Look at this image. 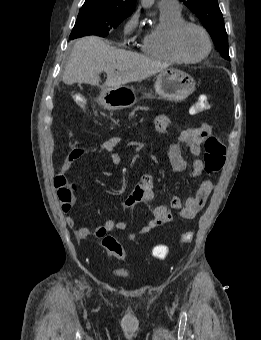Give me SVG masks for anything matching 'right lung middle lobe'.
<instances>
[{
	"instance_id": "right-lung-middle-lobe-1",
	"label": "right lung middle lobe",
	"mask_w": 261,
	"mask_h": 340,
	"mask_svg": "<svg viewBox=\"0 0 261 340\" xmlns=\"http://www.w3.org/2000/svg\"><path fill=\"white\" fill-rule=\"evenodd\" d=\"M126 17L128 16L106 8L82 6L69 38L75 39L86 35L105 37Z\"/></svg>"
}]
</instances>
